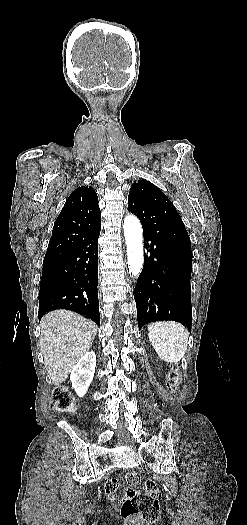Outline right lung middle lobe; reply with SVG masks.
<instances>
[{"instance_id":"right-lung-middle-lobe-1","label":"right lung middle lobe","mask_w":247,"mask_h":525,"mask_svg":"<svg viewBox=\"0 0 247 525\" xmlns=\"http://www.w3.org/2000/svg\"><path fill=\"white\" fill-rule=\"evenodd\" d=\"M52 257H53V256H50V257L44 258V260H45V259H50V258H52Z\"/></svg>"}]
</instances>
